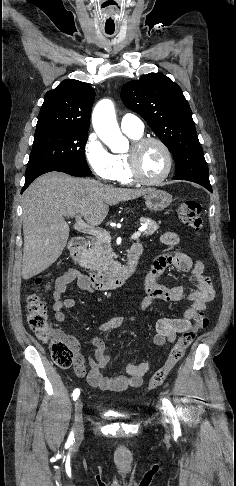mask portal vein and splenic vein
<instances>
[{"mask_svg":"<svg viewBox=\"0 0 236 486\" xmlns=\"http://www.w3.org/2000/svg\"><path fill=\"white\" fill-rule=\"evenodd\" d=\"M74 228L82 233L95 236L96 238L99 239H103L106 241L111 240L110 234L107 231L85 223L80 216L76 217V223L74 224ZM145 229L146 226L142 227L141 229L133 233L131 239L134 240L138 239L141 236V232L144 231Z\"/></svg>","mask_w":236,"mask_h":486,"instance_id":"1","label":"portal vein and splenic vein"}]
</instances>
